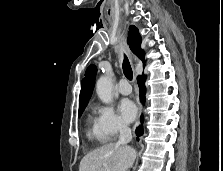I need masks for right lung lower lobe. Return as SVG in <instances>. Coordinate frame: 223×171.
<instances>
[{"instance_id": "1", "label": "right lung lower lobe", "mask_w": 223, "mask_h": 171, "mask_svg": "<svg viewBox=\"0 0 223 171\" xmlns=\"http://www.w3.org/2000/svg\"><path fill=\"white\" fill-rule=\"evenodd\" d=\"M137 80H138V84H139V88H140V100L144 104V102H145V93H146L145 77L144 76H138ZM142 120H143V117L141 116V121ZM136 134H137V136H141L143 134L142 127L141 128L138 127L136 129Z\"/></svg>"}]
</instances>
